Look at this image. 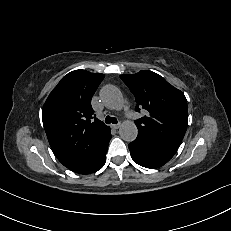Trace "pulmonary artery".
Returning a JSON list of instances; mask_svg holds the SVG:
<instances>
[{
  "label": "pulmonary artery",
  "instance_id": "pulmonary-artery-1",
  "mask_svg": "<svg viewBox=\"0 0 231 231\" xmlns=\"http://www.w3.org/2000/svg\"><path fill=\"white\" fill-rule=\"evenodd\" d=\"M129 116H130L131 118H135V117H136L134 113H129Z\"/></svg>",
  "mask_w": 231,
  "mask_h": 231
}]
</instances>
